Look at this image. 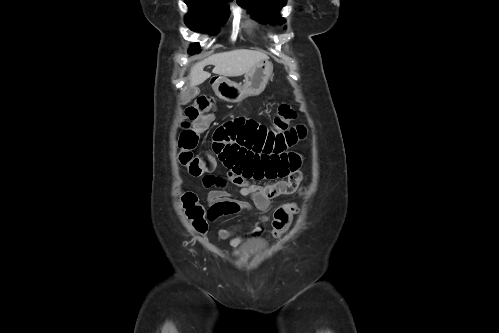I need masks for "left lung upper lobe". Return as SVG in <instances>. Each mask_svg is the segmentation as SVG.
<instances>
[{
	"mask_svg": "<svg viewBox=\"0 0 499 333\" xmlns=\"http://www.w3.org/2000/svg\"><path fill=\"white\" fill-rule=\"evenodd\" d=\"M242 7L253 10V18L260 22L269 21L272 24H284L279 11L285 6L286 0H237Z\"/></svg>",
	"mask_w": 499,
	"mask_h": 333,
	"instance_id": "1",
	"label": "left lung upper lobe"
}]
</instances>
